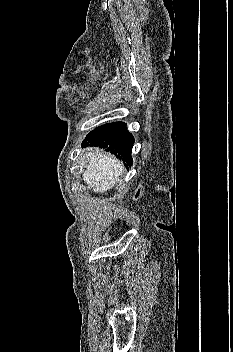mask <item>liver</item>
I'll return each instance as SVG.
<instances>
[{"instance_id":"liver-1","label":"liver","mask_w":233,"mask_h":352,"mask_svg":"<svg viewBox=\"0 0 233 352\" xmlns=\"http://www.w3.org/2000/svg\"><path fill=\"white\" fill-rule=\"evenodd\" d=\"M86 169L83 180L96 193H104L120 181L123 172L121 163L109 153L88 148L84 153Z\"/></svg>"}]
</instances>
